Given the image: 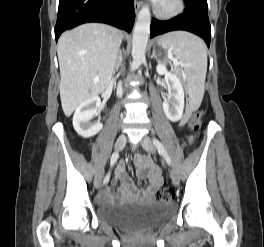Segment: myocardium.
I'll return each instance as SVG.
<instances>
[{
  "instance_id": "f54148a6",
  "label": "myocardium",
  "mask_w": 264,
  "mask_h": 247,
  "mask_svg": "<svg viewBox=\"0 0 264 247\" xmlns=\"http://www.w3.org/2000/svg\"><path fill=\"white\" fill-rule=\"evenodd\" d=\"M162 2H159L154 8V13L156 16L168 19L180 15L185 9L184 0H169L167 7H162Z\"/></svg>"
}]
</instances>
